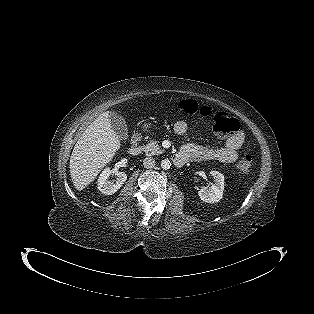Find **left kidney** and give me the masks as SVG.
Returning a JSON list of instances; mask_svg holds the SVG:
<instances>
[{"mask_svg": "<svg viewBox=\"0 0 314 314\" xmlns=\"http://www.w3.org/2000/svg\"><path fill=\"white\" fill-rule=\"evenodd\" d=\"M210 175L214 178V184L200 189L198 195L203 202L217 203L223 198L224 175L218 171H211Z\"/></svg>", "mask_w": 314, "mask_h": 314, "instance_id": "obj_1", "label": "left kidney"}]
</instances>
